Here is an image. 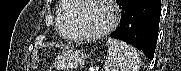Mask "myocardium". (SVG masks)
<instances>
[{
  "instance_id": "myocardium-1",
  "label": "myocardium",
  "mask_w": 181,
  "mask_h": 71,
  "mask_svg": "<svg viewBox=\"0 0 181 71\" xmlns=\"http://www.w3.org/2000/svg\"><path fill=\"white\" fill-rule=\"evenodd\" d=\"M65 1H68L74 4V10H73L70 24L73 30V36L74 38L78 40H97V39L103 38L107 36L109 33H111L117 25L118 16L113 5L107 0H97L108 10L109 15H110V21L108 25L99 32L92 33V34L81 32L78 29V17L83 6V1L85 0H65Z\"/></svg>"
}]
</instances>
